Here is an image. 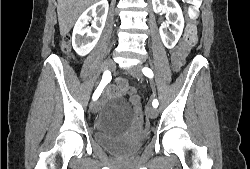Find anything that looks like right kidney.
Returning <instances> with one entry per match:
<instances>
[{
  "mask_svg": "<svg viewBox=\"0 0 250 169\" xmlns=\"http://www.w3.org/2000/svg\"><path fill=\"white\" fill-rule=\"evenodd\" d=\"M108 8V0H99L96 4H91L79 16L73 28L72 46L80 56L88 54L97 44L105 26ZM91 16H93L92 24L86 26V24H89L88 20H90Z\"/></svg>",
  "mask_w": 250,
  "mask_h": 169,
  "instance_id": "ca27d5eb",
  "label": "right kidney"
}]
</instances>
